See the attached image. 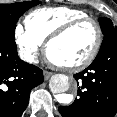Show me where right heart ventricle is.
Wrapping results in <instances>:
<instances>
[{"label":"right heart ventricle","instance_id":"e07e8e85","mask_svg":"<svg viewBox=\"0 0 117 117\" xmlns=\"http://www.w3.org/2000/svg\"><path fill=\"white\" fill-rule=\"evenodd\" d=\"M83 17H88V14L71 7H43L30 12L25 18V25L27 31L43 43L66 23Z\"/></svg>","mask_w":117,"mask_h":117}]
</instances>
